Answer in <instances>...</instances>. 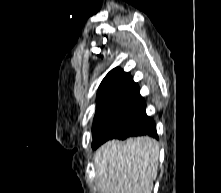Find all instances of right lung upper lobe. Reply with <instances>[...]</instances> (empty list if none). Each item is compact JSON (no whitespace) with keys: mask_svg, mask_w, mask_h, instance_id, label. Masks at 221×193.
Masks as SVG:
<instances>
[{"mask_svg":"<svg viewBox=\"0 0 221 193\" xmlns=\"http://www.w3.org/2000/svg\"><path fill=\"white\" fill-rule=\"evenodd\" d=\"M123 102H144L129 73L114 68L103 79L97 93L96 112Z\"/></svg>","mask_w":221,"mask_h":193,"instance_id":"1","label":"right lung upper lobe"}]
</instances>
